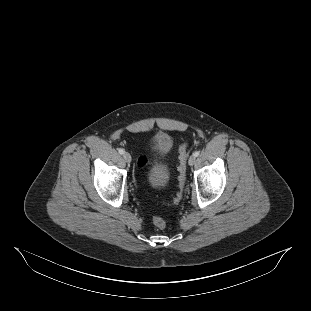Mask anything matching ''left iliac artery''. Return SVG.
<instances>
[{
  "instance_id": "left-iliac-artery-1",
  "label": "left iliac artery",
  "mask_w": 311,
  "mask_h": 311,
  "mask_svg": "<svg viewBox=\"0 0 311 311\" xmlns=\"http://www.w3.org/2000/svg\"><path fill=\"white\" fill-rule=\"evenodd\" d=\"M193 155H194L195 157H198V156H199V151H195Z\"/></svg>"
}]
</instances>
